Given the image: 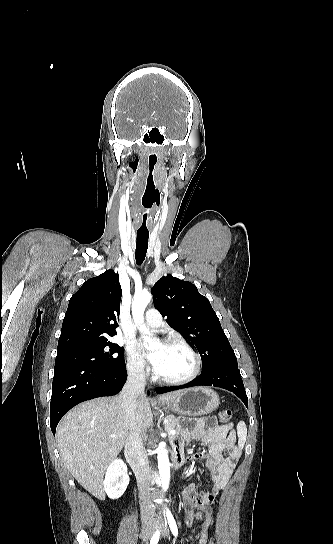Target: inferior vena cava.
I'll return each instance as SVG.
<instances>
[{"mask_svg": "<svg viewBox=\"0 0 333 544\" xmlns=\"http://www.w3.org/2000/svg\"><path fill=\"white\" fill-rule=\"evenodd\" d=\"M145 373L141 367H134L128 371V378L120 394L122 408L125 413L130 433L125 443V455L135 473L139 498L140 510L143 520L151 516L154 506L151 501V478L148 457L143 445L140 431L137 427V400L144 395Z\"/></svg>", "mask_w": 333, "mask_h": 544, "instance_id": "1", "label": "inferior vena cava"}]
</instances>
